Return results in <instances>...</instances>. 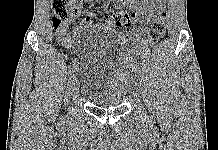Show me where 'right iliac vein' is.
Segmentation results:
<instances>
[{"label":"right iliac vein","instance_id":"right-iliac-vein-1","mask_svg":"<svg viewBox=\"0 0 218 150\" xmlns=\"http://www.w3.org/2000/svg\"><path fill=\"white\" fill-rule=\"evenodd\" d=\"M79 92L78 80L75 75L72 76L71 79V94L72 96H77Z\"/></svg>","mask_w":218,"mask_h":150}]
</instances>
